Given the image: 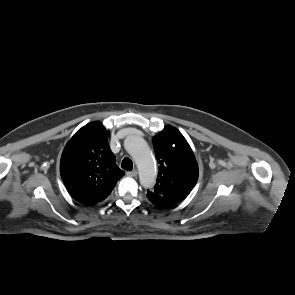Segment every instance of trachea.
<instances>
[{"label":"trachea","instance_id":"3493384b","mask_svg":"<svg viewBox=\"0 0 295 295\" xmlns=\"http://www.w3.org/2000/svg\"><path fill=\"white\" fill-rule=\"evenodd\" d=\"M121 167L124 170L131 171L132 168H133V162H132V160L130 158H128V157H125L123 159V161H122Z\"/></svg>","mask_w":295,"mask_h":295}]
</instances>
